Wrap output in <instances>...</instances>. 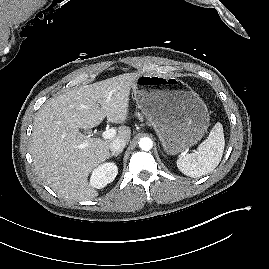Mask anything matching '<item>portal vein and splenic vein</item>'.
<instances>
[{"instance_id":"18ae733b","label":"portal vein and splenic vein","mask_w":269,"mask_h":269,"mask_svg":"<svg viewBox=\"0 0 269 269\" xmlns=\"http://www.w3.org/2000/svg\"><path fill=\"white\" fill-rule=\"evenodd\" d=\"M116 135V130L111 128V129H107L102 133V138L103 139H111L113 137H115Z\"/></svg>"}]
</instances>
